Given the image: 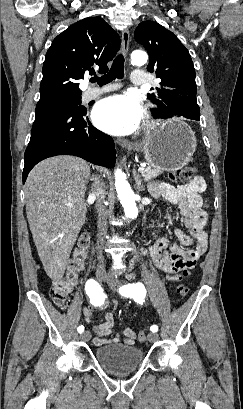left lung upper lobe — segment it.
<instances>
[{"mask_svg":"<svg viewBox=\"0 0 243 409\" xmlns=\"http://www.w3.org/2000/svg\"><path fill=\"white\" fill-rule=\"evenodd\" d=\"M136 40L149 53L148 71L161 79L156 93L148 94L158 110L153 116L167 118L177 110L180 116L200 113L196 101L195 70L186 47L169 30L152 21H144L135 31Z\"/></svg>","mask_w":243,"mask_h":409,"instance_id":"obj_1","label":"left lung upper lobe"}]
</instances>
